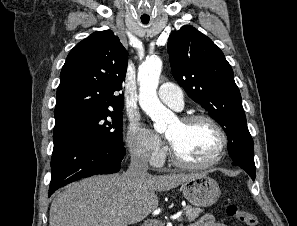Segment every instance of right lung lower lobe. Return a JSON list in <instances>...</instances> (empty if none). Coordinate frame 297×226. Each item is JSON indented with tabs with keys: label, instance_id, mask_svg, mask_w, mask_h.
I'll use <instances>...</instances> for the list:
<instances>
[{
	"label": "right lung lower lobe",
	"instance_id": "right-lung-lower-lobe-1",
	"mask_svg": "<svg viewBox=\"0 0 297 226\" xmlns=\"http://www.w3.org/2000/svg\"><path fill=\"white\" fill-rule=\"evenodd\" d=\"M53 141L49 197L78 179L118 172L126 154L124 146L77 133L56 134Z\"/></svg>",
	"mask_w": 297,
	"mask_h": 226
}]
</instances>
